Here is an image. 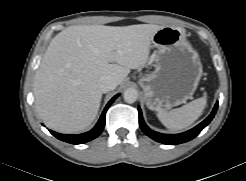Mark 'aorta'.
I'll return each instance as SVG.
<instances>
[{"label":"aorta","instance_id":"1","mask_svg":"<svg viewBox=\"0 0 246 181\" xmlns=\"http://www.w3.org/2000/svg\"><path fill=\"white\" fill-rule=\"evenodd\" d=\"M123 95H124L125 102L130 104L136 102L138 98V92L134 88L126 89Z\"/></svg>","mask_w":246,"mask_h":181}]
</instances>
